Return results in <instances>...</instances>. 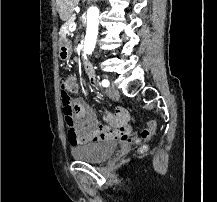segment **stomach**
Segmentation results:
<instances>
[{
	"mask_svg": "<svg viewBox=\"0 0 217 202\" xmlns=\"http://www.w3.org/2000/svg\"><path fill=\"white\" fill-rule=\"evenodd\" d=\"M72 54V44L68 38H61L59 42V58L60 60H69Z\"/></svg>",
	"mask_w": 217,
	"mask_h": 202,
	"instance_id": "0dacf381",
	"label": "stomach"
}]
</instances>
